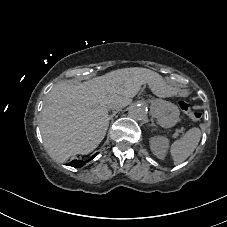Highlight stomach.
<instances>
[{"label":"stomach","instance_id":"obj_1","mask_svg":"<svg viewBox=\"0 0 227 227\" xmlns=\"http://www.w3.org/2000/svg\"><path fill=\"white\" fill-rule=\"evenodd\" d=\"M151 107L158 124L163 128L173 127L180 120L178 106L169 101L153 100L151 101Z\"/></svg>","mask_w":227,"mask_h":227}]
</instances>
